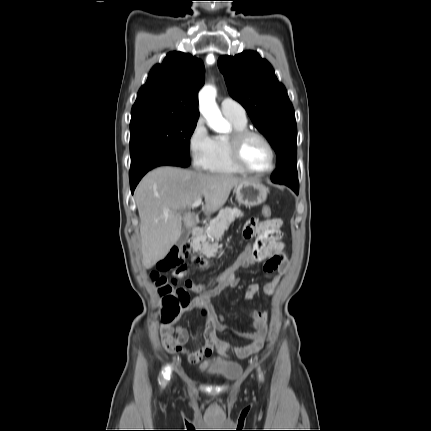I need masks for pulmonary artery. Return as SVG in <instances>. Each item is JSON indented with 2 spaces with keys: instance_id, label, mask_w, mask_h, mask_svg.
Returning a JSON list of instances; mask_svg holds the SVG:
<instances>
[{
  "instance_id": "obj_1",
  "label": "pulmonary artery",
  "mask_w": 431,
  "mask_h": 431,
  "mask_svg": "<svg viewBox=\"0 0 431 431\" xmlns=\"http://www.w3.org/2000/svg\"><path fill=\"white\" fill-rule=\"evenodd\" d=\"M220 108L226 117H231L239 121H247L244 107L232 98H224L221 101Z\"/></svg>"
}]
</instances>
